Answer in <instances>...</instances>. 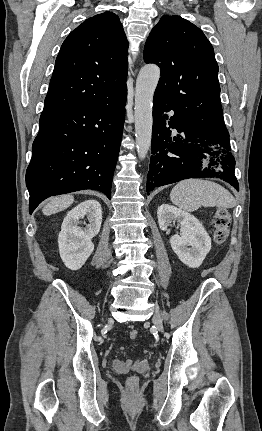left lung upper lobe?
<instances>
[{
	"label": "left lung upper lobe",
	"instance_id": "obj_1",
	"mask_svg": "<svg viewBox=\"0 0 262 431\" xmlns=\"http://www.w3.org/2000/svg\"><path fill=\"white\" fill-rule=\"evenodd\" d=\"M143 56L146 63L161 68L155 93L182 120L205 134L227 130L214 49L198 27L176 15L163 16L152 29Z\"/></svg>",
	"mask_w": 262,
	"mask_h": 431
}]
</instances>
